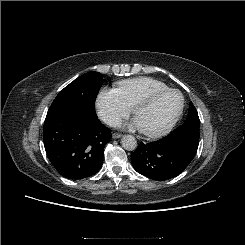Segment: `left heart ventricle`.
<instances>
[{"mask_svg":"<svg viewBox=\"0 0 245 245\" xmlns=\"http://www.w3.org/2000/svg\"><path fill=\"white\" fill-rule=\"evenodd\" d=\"M181 104L177 93L164 94L147 105L140 106L135 119L142 131H156L166 126L177 113Z\"/></svg>","mask_w":245,"mask_h":245,"instance_id":"b2bd125f","label":"left heart ventricle"}]
</instances>
